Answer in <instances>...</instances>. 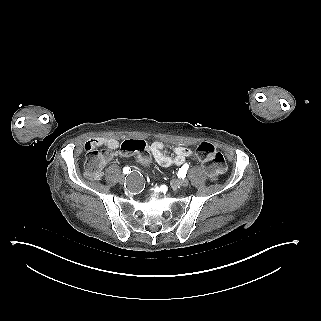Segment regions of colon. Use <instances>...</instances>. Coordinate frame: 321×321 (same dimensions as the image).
<instances>
[{
	"instance_id": "5ec220e1",
	"label": "colon",
	"mask_w": 321,
	"mask_h": 321,
	"mask_svg": "<svg viewBox=\"0 0 321 321\" xmlns=\"http://www.w3.org/2000/svg\"><path fill=\"white\" fill-rule=\"evenodd\" d=\"M121 151L125 154H136L139 161L145 165L148 163L149 152L144 141L131 139L121 144ZM197 158L209 177L215 179L222 175L226 170V161L221 152L215 146L207 141L201 142L196 150ZM104 155L96 149L87 150L85 159V173L88 177L94 178L101 171Z\"/></svg>"
}]
</instances>
